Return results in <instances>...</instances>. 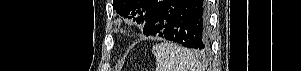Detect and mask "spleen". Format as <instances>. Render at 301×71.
<instances>
[{"label": "spleen", "instance_id": "spleen-1", "mask_svg": "<svg viewBox=\"0 0 301 71\" xmlns=\"http://www.w3.org/2000/svg\"><path fill=\"white\" fill-rule=\"evenodd\" d=\"M152 53L156 57V71H203L197 57L180 45L159 43L153 46Z\"/></svg>", "mask_w": 301, "mask_h": 71}]
</instances>
